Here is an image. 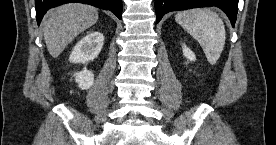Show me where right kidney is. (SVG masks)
<instances>
[{"mask_svg": "<svg viewBox=\"0 0 276 145\" xmlns=\"http://www.w3.org/2000/svg\"><path fill=\"white\" fill-rule=\"evenodd\" d=\"M104 43V36L98 31H91L83 37L73 48L69 61L86 64L93 61L100 53ZM75 81L82 90L89 89L94 83L92 71L86 67L74 74Z\"/></svg>", "mask_w": 276, "mask_h": 145, "instance_id": "1", "label": "right kidney"}]
</instances>
